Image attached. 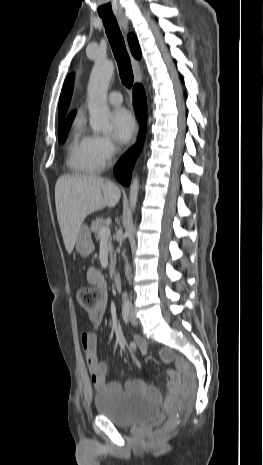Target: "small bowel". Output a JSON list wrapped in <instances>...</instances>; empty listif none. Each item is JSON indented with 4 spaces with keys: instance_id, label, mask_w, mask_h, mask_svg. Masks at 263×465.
<instances>
[{
    "instance_id": "obj_1",
    "label": "small bowel",
    "mask_w": 263,
    "mask_h": 465,
    "mask_svg": "<svg viewBox=\"0 0 263 465\" xmlns=\"http://www.w3.org/2000/svg\"><path fill=\"white\" fill-rule=\"evenodd\" d=\"M87 280L90 284L96 285L101 291H106V280L102 272L96 267H90L87 270ZM106 297L103 296L98 305L88 312L89 322L91 324V330L84 332L81 335V344L85 352V360L89 369L90 378L95 389L103 390L111 387L113 389L120 390L121 385L118 382H108V370L107 365L103 361H99L97 357V337L95 330L99 328L103 322L105 311H106ZM135 345L139 348L141 353L144 355L147 351V344L145 340L140 337H135ZM161 359L165 363H171L175 361L172 353L164 351L161 353ZM176 370L169 371L170 379V390L166 395L165 401L177 403L179 401V395L184 388V384L181 382V374H183V366L175 361ZM128 387L140 388L146 390L157 400H161V394L153 387L146 385L141 380H133L127 383Z\"/></svg>"
}]
</instances>
